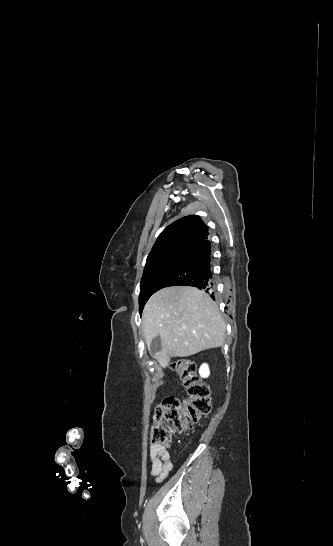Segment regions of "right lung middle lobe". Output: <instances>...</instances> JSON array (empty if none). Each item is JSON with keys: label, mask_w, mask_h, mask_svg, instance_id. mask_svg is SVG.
Returning <instances> with one entry per match:
<instances>
[{"label": "right lung middle lobe", "mask_w": 333, "mask_h": 546, "mask_svg": "<svg viewBox=\"0 0 333 546\" xmlns=\"http://www.w3.org/2000/svg\"><path fill=\"white\" fill-rule=\"evenodd\" d=\"M188 250L172 248L148 256L140 284L139 305L141 311L146 301L155 292L160 277Z\"/></svg>", "instance_id": "dd1d6c3e"}]
</instances>
